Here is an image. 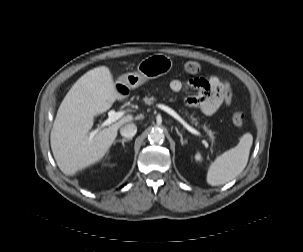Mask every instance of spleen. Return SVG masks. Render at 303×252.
I'll list each match as a JSON object with an SVG mask.
<instances>
[{
    "label": "spleen",
    "instance_id": "obj_1",
    "mask_svg": "<svg viewBox=\"0 0 303 252\" xmlns=\"http://www.w3.org/2000/svg\"><path fill=\"white\" fill-rule=\"evenodd\" d=\"M252 144L253 136L245 133L236 147L216 157L208 168L207 183L218 186L236 178L247 165Z\"/></svg>",
    "mask_w": 303,
    "mask_h": 252
}]
</instances>
